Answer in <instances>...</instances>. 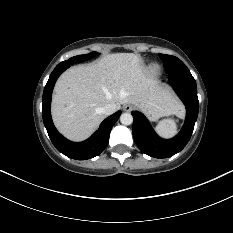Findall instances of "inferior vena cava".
I'll use <instances>...</instances> for the list:
<instances>
[{
    "instance_id": "1",
    "label": "inferior vena cava",
    "mask_w": 233,
    "mask_h": 233,
    "mask_svg": "<svg viewBox=\"0 0 233 233\" xmlns=\"http://www.w3.org/2000/svg\"><path fill=\"white\" fill-rule=\"evenodd\" d=\"M117 110L116 104L110 103L105 105L104 107L100 108L99 111L100 113L104 115H111Z\"/></svg>"
}]
</instances>
